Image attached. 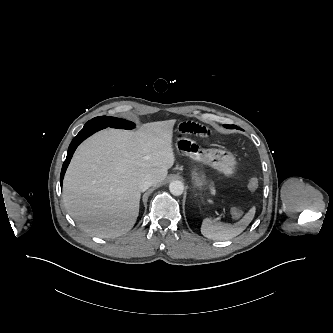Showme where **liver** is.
Masks as SVG:
<instances>
[{"label": "liver", "mask_w": 333, "mask_h": 333, "mask_svg": "<svg viewBox=\"0 0 333 333\" xmlns=\"http://www.w3.org/2000/svg\"><path fill=\"white\" fill-rule=\"evenodd\" d=\"M175 120L146 123L136 131L106 129L76 150L63 182V201L79 227L100 238H115L134 226L139 182L164 181L175 162Z\"/></svg>", "instance_id": "liver-1"}]
</instances>
